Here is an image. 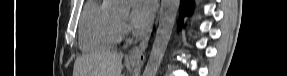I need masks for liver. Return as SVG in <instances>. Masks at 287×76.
<instances>
[{
    "label": "liver",
    "mask_w": 287,
    "mask_h": 76,
    "mask_svg": "<svg viewBox=\"0 0 287 76\" xmlns=\"http://www.w3.org/2000/svg\"><path fill=\"white\" fill-rule=\"evenodd\" d=\"M123 54L102 50L79 57L74 76H121Z\"/></svg>",
    "instance_id": "liver-1"
}]
</instances>
